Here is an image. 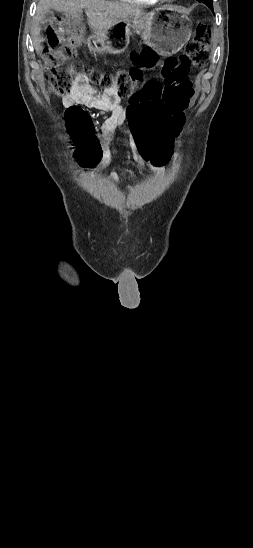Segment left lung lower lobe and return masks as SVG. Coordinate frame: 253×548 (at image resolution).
I'll list each match as a JSON object with an SVG mask.
<instances>
[{
  "mask_svg": "<svg viewBox=\"0 0 253 548\" xmlns=\"http://www.w3.org/2000/svg\"><path fill=\"white\" fill-rule=\"evenodd\" d=\"M198 1L206 4L213 11L212 0H198Z\"/></svg>",
  "mask_w": 253,
  "mask_h": 548,
  "instance_id": "1",
  "label": "left lung lower lobe"
}]
</instances>
